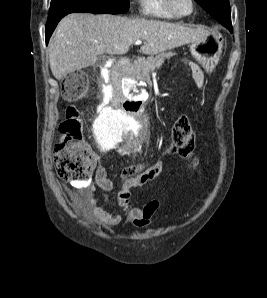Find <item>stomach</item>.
Segmentation results:
<instances>
[{
    "mask_svg": "<svg viewBox=\"0 0 267 298\" xmlns=\"http://www.w3.org/2000/svg\"><path fill=\"white\" fill-rule=\"evenodd\" d=\"M222 48L223 41L218 34H208L204 39L192 42L190 45L193 58L208 72L218 64Z\"/></svg>",
    "mask_w": 267,
    "mask_h": 298,
    "instance_id": "1",
    "label": "stomach"
}]
</instances>
